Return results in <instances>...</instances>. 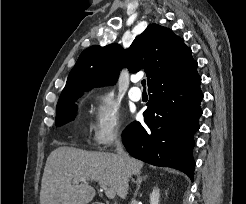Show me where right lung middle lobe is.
Wrapping results in <instances>:
<instances>
[{"mask_svg":"<svg viewBox=\"0 0 246 204\" xmlns=\"http://www.w3.org/2000/svg\"><path fill=\"white\" fill-rule=\"evenodd\" d=\"M78 96L66 97L58 101L56 107V126L64 125L76 116V105L74 102L79 98Z\"/></svg>","mask_w":246,"mask_h":204,"instance_id":"dd1d6c3e","label":"right lung middle lobe"}]
</instances>
